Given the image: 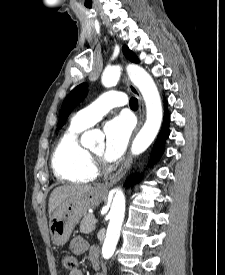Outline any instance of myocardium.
Instances as JSON below:
<instances>
[{
  "label": "myocardium",
  "mask_w": 225,
  "mask_h": 275,
  "mask_svg": "<svg viewBox=\"0 0 225 275\" xmlns=\"http://www.w3.org/2000/svg\"><path fill=\"white\" fill-rule=\"evenodd\" d=\"M89 153L93 159L92 166L97 172L106 171L110 168L109 165L102 159L101 155L92 151H89Z\"/></svg>",
  "instance_id": "obj_1"
}]
</instances>
